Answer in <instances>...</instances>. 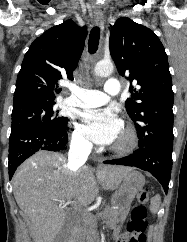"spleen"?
I'll return each mask as SVG.
<instances>
[{
    "label": "spleen",
    "instance_id": "obj_1",
    "mask_svg": "<svg viewBox=\"0 0 187 242\" xmlns=\"http://www.w3.org/2000/svg\"><path fill=\"white\" fill-rule=\"evenodd\" d=\"M160 203H161V198L159 195H155V197H153L151 204H150V211L152 213H157L160 207Z\"/></svg>",
    "mask_w": 187,
    "mask_h": 242
}]
</instances>
